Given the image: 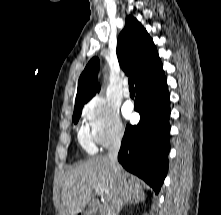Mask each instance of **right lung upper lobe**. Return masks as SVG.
<instances>
[{"label": "right lung upper lobe", "mask_w": 221, "mask_h": 215, "mask_svg": "<svg viewBox=\"0 0 221 215\" xmlns=\"http://www.w3.org/2000/svg\"><path fill=\"white\" fill-rule=\"evenodd\" d=\"M117 57L126 75L133 76L135 85L163 70L156 47L146 29L133 16H127L117 43ZM99 59L93 57L78 81L75 105L85 104L100 90L97 83Z\"/></svg>", "instance_id": "1"}]
</instances>
